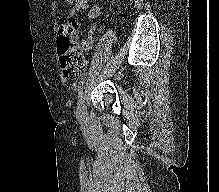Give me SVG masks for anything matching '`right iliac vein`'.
Instances as JSON below:
<instances>
[{
    "label": "right iliac vein",
    "mask_w": 219,
    "mask_h": 192,
    "mask_svg": "<svg viewBox=\"0 0 219 192\" xmlns=\"http://www.w3.org/2000/svg\"><path fill=\"white\" fill-rule=\"evenodd\" d=\"M78 117L81 121H84L86 118V106L84 101L81 102L78 108Z\"/></svg>",
    "instance_id": "63e3f726"
}]
</instances>
